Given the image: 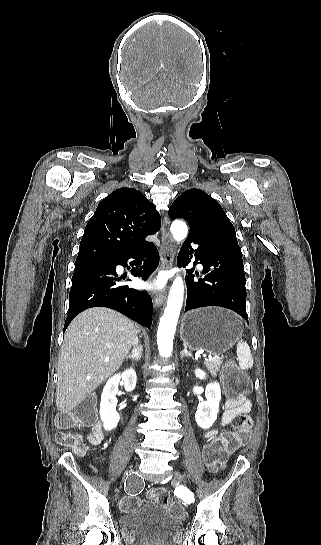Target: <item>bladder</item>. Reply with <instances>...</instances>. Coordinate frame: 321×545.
Here are the masks:
<instances>
[{"mask_svg":"<svg viewBox=\"0 0 321 545\" xmlns=\"http://www.w3.org/2000/svg\"><path fill=\"white\" fill-rule=\"evenodd\" d=\"M119 525L122 539L129 545H172L183 530L181 521L158 503L124 512Z\"/></svg>","mask_w":321,"mask_h":545,"instance_id":"1","label":"bladder"}]
</instances>
